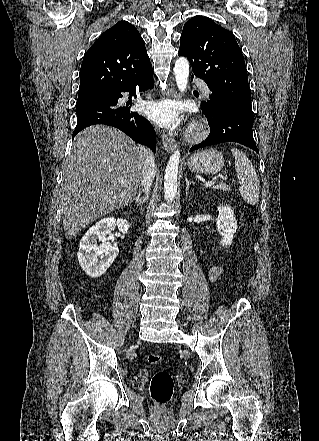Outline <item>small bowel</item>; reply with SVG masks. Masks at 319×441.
<instances>
[{"mask_svg":"<svg viewBox=\"0 0 319 441\" xmlns=\"http://www.w3.org/2000/svg\"><path fill=\"white\" fill-rule=\"evenodd\" d=\"M222 271L219 268H213L211 270V279L216 280L221 275Z\"/></svg>","mask_w":319,"mask_h":441,"instance_id":"1","label":"small bowel"}]
</instances>
